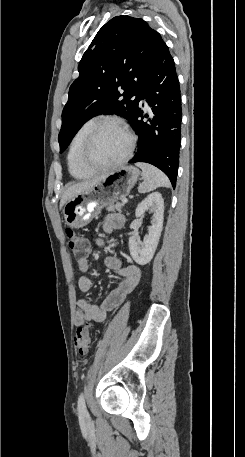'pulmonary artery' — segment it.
I'll return each instance as SVG.
<instances>
[{"label":"pulmonary artery","instance_id":"1","mask_svg":"<svg viewBox=\"0 0 245 457\" xmlns=\"http://www.w3.org/2000/svg\"><path fill=\"white\" fill-rule=\"evenodd\" d=\"M135 95L137 96V99H138L139 101H142V100L144 99V96L142 95V92H141L140 90H137V91L135 92ZM145 106H146V105H145Z\"/></svg>","mask_w":245,"mask_h":457}]
</instances>
